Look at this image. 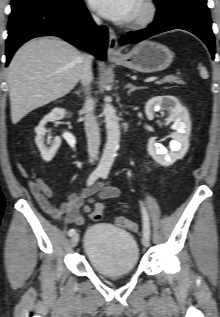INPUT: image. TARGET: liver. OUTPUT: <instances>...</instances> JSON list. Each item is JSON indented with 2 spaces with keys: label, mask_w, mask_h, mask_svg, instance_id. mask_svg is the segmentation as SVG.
Segmentation results:
<instances>
[{
  "label": "liver",
  "mask_w": 220,
  "mask_h": 317,
  "mask_svg": "<svg viewBox=\"0 0 220 317\" xmlns=\"http://www.w3.org/2000/svg\"><path fill=\"white\" fill-rule=\"evenodd\" d=\"M83 61L74 46L55 37L20 47L7 69L12 123L67 95L80 79Z\"/></svg>",
  "instance_id": "6515ba94"
}]
</instances>
